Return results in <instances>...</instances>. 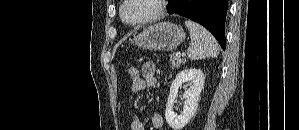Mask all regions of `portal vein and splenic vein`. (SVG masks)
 I'll return each mask as SVG.
<instances>
[{"label":"portal vein and splenic vein","instance_id":"obj_1","mask_svg":"<svg viewBox=\"0 0 299 130\" xmlns=\"http://www.w3.org/2000/svg\"><path fill=\"white\" fill-rule=\"evenodd\" d=\"M176 56L180 57V56H181V53H180V52H177V53H176Z\"/></svg>","mask_w":299,"mask_h":130}]
</instances>
